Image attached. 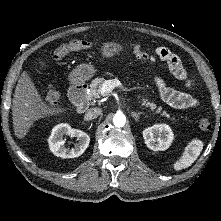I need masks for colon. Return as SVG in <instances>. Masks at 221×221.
Masks as SVG:
<instances>
[{
  "mask_svg": "<svg viewBox=\"0 0 221 221\" xmlns=\"http://www.w3.org/2000/svg\"><path fill=\"white\" fill-rule=\"evenodd\" d=\"M98 46V42H91L79 39H73L65 44L60 45L55 49L53 53V60L60 61L66 55L83 51V50H91ZM129 47L132 53L138 58H146L149 55V49L139 44H129ZM59 99V93L54 88H49L46 92V102L48 105L52 106L57 103ZM199 127L202 130H209L211 128V121L207 117H203L199 122Z\"/></svg>",
  "mask_w": 221,
  "mask_h": 221,
  "instance_id": "obj_1",
  "label": "colon"
}]
</instances>
